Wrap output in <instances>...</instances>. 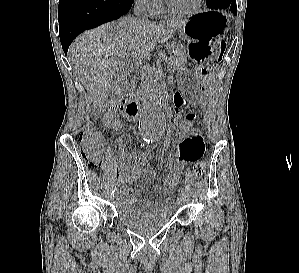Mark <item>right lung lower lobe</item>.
Returning a JSON list of instances; mask_svg holds the SVG:
<instances>
[{
  "label": "right lung lower lobe",
  "mask_w": 299,
  "mask_h": 273,
  "mask_svg": "<svg viewBox=\"0 0 299 273\" xmlns=\"http://www.w3.org/2000/svg\"><path fill=\"white\" fill-rule=\"evenodd\" d=\"M132 3L133 0H60L59 36L65 54L80 33L121 17Z\"/></svg>",
  "instance_id": "98d812e1"
}]
</instances>
